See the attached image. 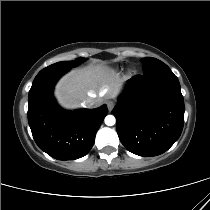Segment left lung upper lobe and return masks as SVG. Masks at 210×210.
Returning a JSON list of instances; mask_svg holds the SVG:
<instances>
[{
    "mask_svg": "<svg viewBox=\"0 0 210 210\" xmlns=\"http://www.w3.org/2000/svg\"><path fill=\"white\" fill-rule=\"evenodd\" d=\"M141 62L143 63V71H149L159 65L164 64L163 62H161L160 60L153 58V57H147V58H143L141 60Z\"/></svg>",
    "mask_w": 210,
    "mask_h": 210,
    "instance_id": "left-lung-upper-lobe-1",
    "label": "left lung upper lobe"
}]
</instances>
